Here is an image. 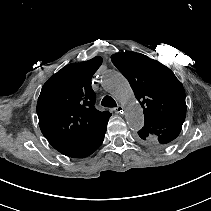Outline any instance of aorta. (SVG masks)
<instances>
[{
    "label": "aorta",
    "instance_id": "762f6f07",
    "mask_svg": "<svg viewBox=\"0 0 211 211\" xmlns=\"http://www.w3.org/2000/svg\"><path fill=\"white\" fill-rule=\"evenodd\" d=\"M103 88L126 105L125 119L132 130H139L144 124L143 110L136 100L127 79L119 72H107L101 80Z\"/></svg>",
    "mask_w": 211,
    "mask_h": 211
}]
</instances>
